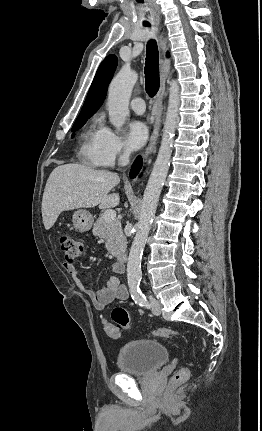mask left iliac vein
Masks as SVG:
<instances>
[{
  "instance_id": "4c4485c4",
  "label": "left iliac vein",
  "mask_w": 262,
  "mask_h": 431,
  "mask_svg": "<svg viewBox=\"0 0 262 431\" xmlns=\"http://www.w3.org/2000/svg\"><path fill=\"white\" fill-rule=\"evenodd\" d=\"M150 305H151V310H152L153 314H155L157 316L161 314V305H160L159 300H157L153 297H150Z\"/></svg>"
}]
</instances>
